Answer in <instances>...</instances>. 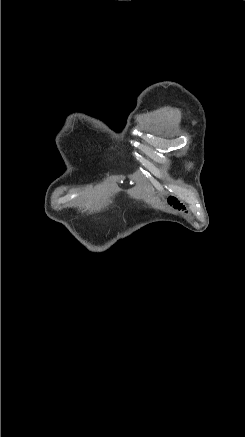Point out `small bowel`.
<instances>
[{"mask_svg":"<svg viewBox=\"0 0 245 437\" xmlns=\"http://www.w3.org/2000/svg\"><path fill=\"white\" fill-rule=\"evenodd\" d=\"M171 200H172L171 204H172V206H173L175 209H178V210H183V209H184V207L182 206V204H180L177 200H174V199H171Z\"/></svg>","mask_w":245,"mask_h":437,"instance_id":"small-bowel-1","label":"small bowel"}]
</instances>
